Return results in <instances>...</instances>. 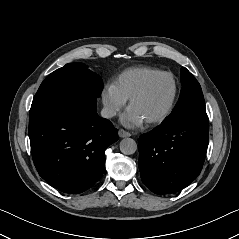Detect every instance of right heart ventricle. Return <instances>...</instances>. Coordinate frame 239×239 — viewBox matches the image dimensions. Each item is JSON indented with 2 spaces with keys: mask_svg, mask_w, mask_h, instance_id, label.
I'll return each mask as SVG.
<instances>
[{
  "mask_svg": "<svg viewBox=\"0 0 239 239\" xmlns=\"http://www.w3.org/2000/svg\"><path fill=\"white\" fill-rule=\"evenodd\" d=\"M158 72L159 70L146 66L131 67L117 76L114 86L119 94L127 100L149 77Z\"/></svg>",
  "mask_w": 239,
  "mask_h": 239,
  "instance_id": "obj_1",
  "label": "right heart ventricle"
}]
</instances>
